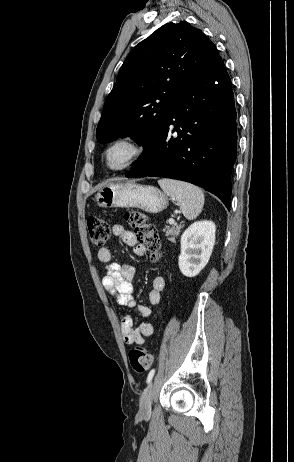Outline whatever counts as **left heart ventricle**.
I'll list each match as a JSON object with an SVG mask.
<instances>
[{
  "label": "left heart ventricle",
  "mask_w": 294,
  "mask_h": 462,
  "mask_svg": "<svg viewBox=\"0 0 294 462\" xmlns=\"http://www.w3.org/2000/svg\"><path fill=\"white\" fill-rule=\"evenodd\" d=\"M131 150L126 145L116 146L109 154V163L113 166L122 164L130 155Z\"/></svg>",
  "instance_id": "obj_1"
}]
</instances>
